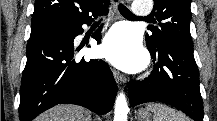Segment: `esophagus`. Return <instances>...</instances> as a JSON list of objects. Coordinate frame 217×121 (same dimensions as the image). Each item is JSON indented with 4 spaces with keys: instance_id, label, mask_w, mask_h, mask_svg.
Instances as JSON below:
<instances>
[{
    "instance_id": "34e87169",
    "label": "esophagus",
    "mask_w": 217,
    "mask_h": 121,
    "mask_svg": "<svg viewBox=\"0 0 217 121\" xmlns=\"http://www.w3.org/2000/svg\"><path fill=\"white\" fill-rule=\"evenodd\" d=\"M120 3V0H112V5H113V11L115 14H118V5ZM113 76L117 83H126V78L123 74L118 72L115 69H112Z\"/></svg>"
}]
</instances>
